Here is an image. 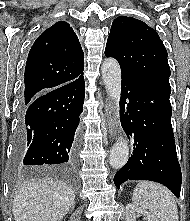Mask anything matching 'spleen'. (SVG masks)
Instances as JSON below:
<instances>
[{
    "label": "spleen",
    "instance_id": "1",
    "mask_svg": "<svg viewBox=\"0 0 190 221\" xmlns=\"http://www.w3.org/2000/svg\"><path fill=\"white\" fill-rule=\"evenodd\" d=\"M133 204L148 209L160 221H178V209L173 194L164 186L141 181L133 191Z\"/></svg>",
    "mask_w": 190,
    "mask_h": 221
}]
</instances>
